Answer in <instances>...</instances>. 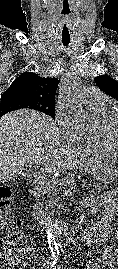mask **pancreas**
Instances as JSON below:
<instances>
[{"label":"pancreas","mask_w":118,"mask_h":269,"mask_svg":"<svg viewBox=\"0 0 118 269\" xmlns=\"http://www.w3.org/2000/svg\"><path fill=\"white\" fill-rule=\"evenodd\" d=\"M100 186H102V183H100V182H88L87 183V191L88 192H104L105 188L100 187ZM42 190H44L46 192H50V190H51L50 184L45 182V184L42 187Z\"/></svg>","instance_id":"cf45deb5"}]
</instances>
